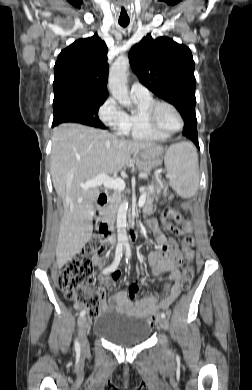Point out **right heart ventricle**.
Instances as JSON below:
<instances>
[{
  "label": "right heart ventricle",
  "mask_w": 252,
  "mask_h": 390,
  "mask_svg": "<svg viewBox=\"0 0 252 390\" xmlns=\"http://www.w3.org/2000/svg\"><path fill=\"white\" fill-rule=\"evenodd\" d=\"M136 110L126 114L127 129L124 135L131 140L143 142L163 141L169 136L154 132L146 122L145 114L149 107L156 102L150 95L145 98L135 97Z\"/></svg>",
  "instance_id": "e07e8e85"
}]
</instances>
